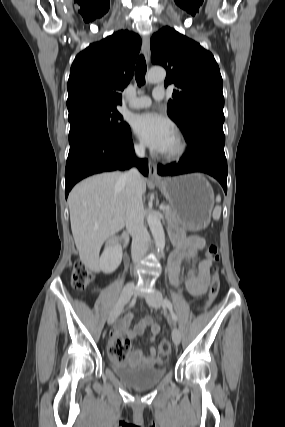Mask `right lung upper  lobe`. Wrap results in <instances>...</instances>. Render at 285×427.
I'll return each mask as SVG.
<instances>
[{"mask_svg": "<svg viewBox=\"0 0 285 427\" xmlns=\"http://www.w3.org/2000/svg\"><path fill=\"white\" fill-rule=\"evenodd\" d=\"M141 38L118 31L80 52L70 69L67 84L69 115L88 107L122 104V91L134 73Z\"/></svg>", "mask_w": 285, "mask_h": 427, "instance_id": "1", "label": "right lung upper lobe"}]
</instances>
